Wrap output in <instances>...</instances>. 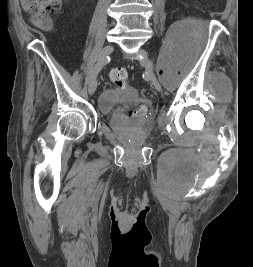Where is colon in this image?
<instances>
[{
  "label": "colon",
  "mask_w": 253,
  "mask_h": 267,
  "mask_svg": "<svg viewBox=\"0 0 253 267\" xmlns=\"http://www.w3.org/2000/svg\"><path fill=\"white\" fill-rule=\"evenodd\" d=\"M23 8L35 16H44L58 12L61 9L62 0H21ZM110 80L118 85L125 86L128 83V73L124 68H114L110 72ZM142 110L129 112V116H139Z\"/></svg>",
  "instance_id": "colon-1"
}]
</instances>
